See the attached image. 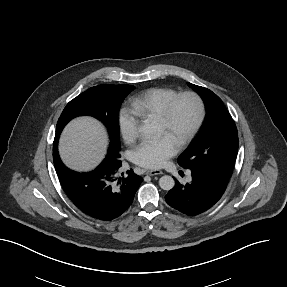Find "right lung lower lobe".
Instances as JSON below:
<instances>
[{
  "label": "right lung lower lobe",
  "instance_id": "1",
  "mask_svg": "<svg viewBox=\"0 0 287 287\" xmlns=\"http://www.w3.org/2000/svg\"><path fill=\"white\" fill-rule=\"evenodd\" d=\"M63 190L70 200L90 217L110 221L122 215L132 204L142 183V177L133 170L126 177H115L120 160L113 165L102 164L94 171L77 173L67 169L60 158L54 161Z\"/></svg>",
  "mask_w": 287,
  "mask_h": 287
}]
</instances>
